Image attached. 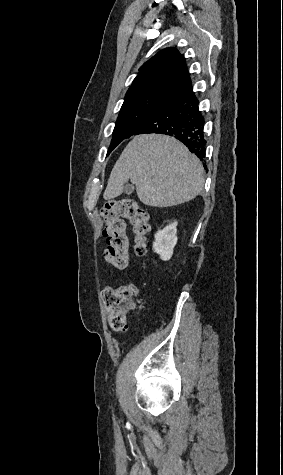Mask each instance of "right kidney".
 Masks as SVG:
<instances>
[{
    "mask_svg": "<svg viewBox=\"0 0 283 475\" xmlns=\"http://www.w3.org/2000/svg\"><path fill=\"white\" fill-rule=\"evenodd\" d=\"M178 222L173 220L172 224L156 232L153 241V249L156 253H159L161 259L167 261L173 255V247L177 243V226Z\"/></svg>",
    "mask_w": 283,
    "mask_h": 475,
    "instance_id": "obj_1",
    "label": "right kidney"
}]
</instances>
